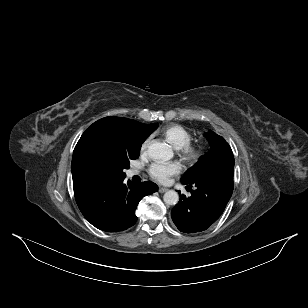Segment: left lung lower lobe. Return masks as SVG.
Here are the masks:
<instances>
[{"instance_id":"1","label":"left lung lower lobe","mask_w":308,"mask_h":308,"mask_svg":"<svg viewBox=\"0 0 308 308\" xmlns=\"http://www.w3.org/2000/svg\"><path fill=\"white\" fill-rule=\"evenodd\" d=\"M187 187L195 185L191 196L185 195L171 211L172 220L181 232L204 231L223 213L233 192V167L221 166L210 170L192 182H182Z\"/></svg>"}]
</instances>
